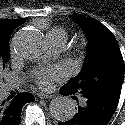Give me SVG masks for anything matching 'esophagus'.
Listing matches in <instances>:
<instances>
[{"label": "esophagus", "mask_w": 125, "mask_h": 125, "mask_svg": "<svg viewBox=\"0 0 125 125\" xmlns=\"http://www.w3.org/2000/svg\"><path fill=\"white\" fill-rule=\"evenodd\" d=\"M38 97L40 99H52L54 96L46 93H38Z\"/></svg>", "instance_id": "34e87169"}]
</instances>
